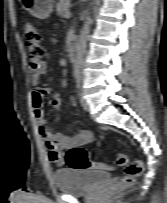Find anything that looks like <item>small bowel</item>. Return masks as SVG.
Here are the masks:
<instances>
[{"label": "small bowel", "instance_id": "small-bowel-1", "mask_svg": "<svg viewBox=\"0 0 167 203\" xmlns=\"http://www.w3.org/2000/svg\"><path fill=\"white\" fill-rule=\"evenodd\" d=\"M48 72V66L45 62L39 63L37 67L29 66V75L32 84L34 85L31 91V101L33 107V115L38 124L40 133L42 134L45 145L48 149V158L51 162L57 165H63L65 162L63 152L69 149L82 146L90 143L94 140V135L90 130H81L75 134H68L64 132H51V125L45 118V112L43 109V99L50 95L51 106L55 110H59L61 106V98L57 93H52L49 88L37 87L36 84L40 76L45 75ZM73 106L77 105L75 99L71 100ZM107 165L103 164L102 168H107Z\"/></svg>", "mask_w": 167, "mask_h": 203}]
</instances>
